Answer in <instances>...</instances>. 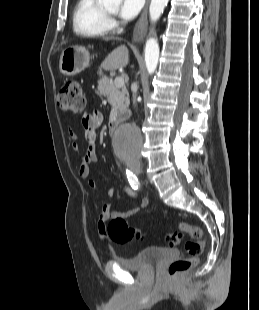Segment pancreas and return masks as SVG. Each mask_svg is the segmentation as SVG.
Listing matches in <instances>:
<instances>
[{
    "instance_id": "obj_1",
    "label": "pancreas",
    "mask_w": 259,
    "mask_h": 310,
    "mask_svg": "<svg viewBox=\"0 0 259 310\" xmlns=\"http://www.w3.org/2000/svg\"><path fill=\"white\" fill-rule=\"evenodd\" d=\"M98 91L112 106L110 122L121 121L128 116L129 94L125 87H115L114 83L104 76L98 81Z\"/></svg>"
}]
</instances>
